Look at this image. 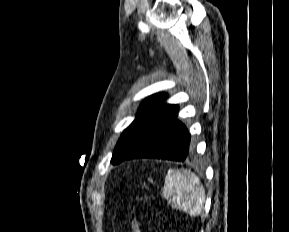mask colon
<instances>
[{
  "instance_id": "colon-1",
  "label": "colon",
  "mask_w": 289,
  "mask_h": 232,
  "mask_svg": "<svg viewBox=\"0 0 289 232\" xmlns=\"http://www.w3.org/2000/svg\"><path fill=\"white\" fill-rule=\"evenodd\" d=\"M112 232H117L115 228H113ZM131 232H141L140 222L136 217L131 218Z\"/></svg>"
}]
</instances>
